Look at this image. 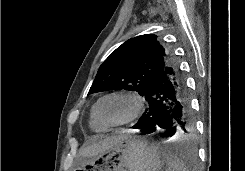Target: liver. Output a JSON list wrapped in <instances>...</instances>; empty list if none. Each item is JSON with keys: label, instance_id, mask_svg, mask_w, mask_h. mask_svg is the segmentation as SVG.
Returning a JSON list of instances; mask_svg holds the SVG:
<instances>
[{"label": "liver", "instance_id": "liver-1", "mask_svg": "<svg viewBox=\"0 0 245 171\" xmlns=\"http://www.w3.org/2000/svg\"><path fill=\"white\" fill-rule=\"evenodd\" d=\"M123 137H124V135L111 136V137H106L104 139H101L97 142H93L89 146H86L80 150L79 157L87 158V157L97 156L98 154L105 152L106 150L111 149Z\"/></svg>", "mask_w": 245, "mask_h": 171}]
</instances>
